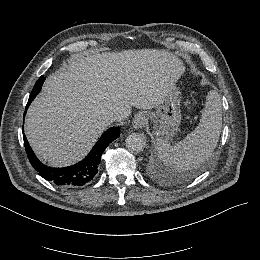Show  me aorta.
<instances>
[{"label": "aorta", "mask_w": 260, "mask_h": 260, "mask_svg": "<svg viewBox=\"0 0 260 260\" xmlns=\"http://www.w3.org/2000/svg\"><path fill=\"white\" fill-rule=\"evenodd\" d=\"M126 147L132 153H139L146 147V138L143 134L132 133L126 138Z\"/></svg>", "instance_id": "obj_1"}]
</instances>
